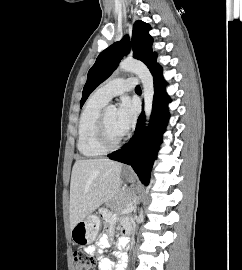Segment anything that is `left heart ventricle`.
<instances>
[{"instance_id":"1","label":"left heart ventricle","mask_w":242,"mask_h":270,"mask_svg":"<svg viewBox=\"0 0 242 270\" xmlns=\"http://www.w3.org/2000/svg\"><path fill=\"white\" fill-rule=\"evenodd\" d=\"M107 126L109 137L112 142L117 141L125 134V132L119 126L116 109L107 110Z\"/></svg>"}]
</instances>
